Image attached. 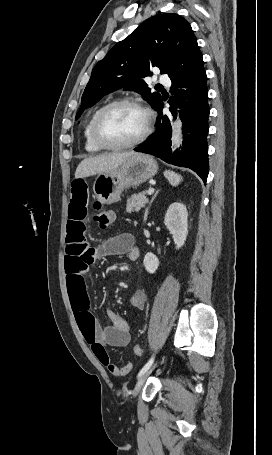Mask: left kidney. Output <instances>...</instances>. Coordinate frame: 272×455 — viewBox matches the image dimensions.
Returning <instances> with one entry per match:
<instances>
[{
	"mask_svg": "<svg viewBox=\"0 0 272 455\" xmlns=\"http://www.w3.org/2000/svg\"><path fill=\"white\" fill-rule=\"evenodd\" d=\"M187 209L179 202L171 204L166 212L164 224L172 234L176 249L181 248L188 234ZM143 264L150 274L155 273L159 266V260L153 253H147Z\"/></svg>",
	"mask_w": 272,
	"mask_h": 455,
	"instance_id": "5707ae66",
	"label": "left kidney"
}]
</instances>
